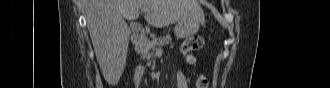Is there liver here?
<instances>
[{"instance_id": "1", "label": "liver", "mask_w": 330, "mask_h": 88, "mask_svg": "<svg viewBox=\"0 0 330 88\" xmlns=\"http://www.w3.org/2000/svg\"><path fill=\"white\" fill-rule=\"evenodd\" d=\"M85 15L94 52L109 84L118 83L125 65L131 30L127 20L147 9L145 20L162 28L183 19L204 20L197 0H85Z\"/></svg>"}]
</instances>
